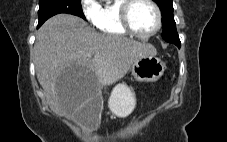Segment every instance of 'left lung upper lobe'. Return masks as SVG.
I'll return each mask as SVG.
<instances>
[{
	"instance_id": "5c2ea615",
	"label": "left lung upper lobe",
	"mask_w": 227,
	"mask_h": 142,
	"mask_svg": "<svg viewBox=\"0 0 227 142\" xmlns=\"http://www.w3.org/2000/svg\"><path fill=\"white\" fill-rule=\"evenodd\" d=\"M162 13L163 33L162 37L169 43L181 47V42L176 30V23L173 17V4L172 0H154Z\"/></svg>"
}]
</instances>
